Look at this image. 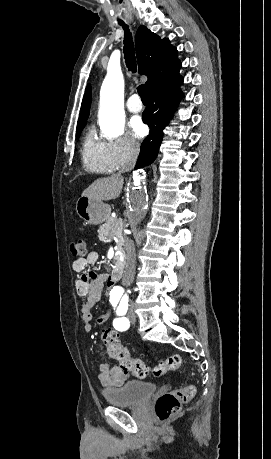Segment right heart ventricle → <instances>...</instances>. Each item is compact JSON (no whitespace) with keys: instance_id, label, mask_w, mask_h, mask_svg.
Instances as JSON below:
<instances>
[{"instance_id":"1","label":"right heart ventricle","mask_w":271,"mask_h":459,"mask_svg":"<svg viewBox=\"0 0 271 459\" xmlns=\"http://www.w3.org/2000/svg\"><path fill=\"white\" fill-rule=\"evenodd\" d=\"M81 158L84 169L89 172L109 173L117 168L110 157L109 142L98 140L92 128L84 135Z\"/></svg>"}]
</instances>
